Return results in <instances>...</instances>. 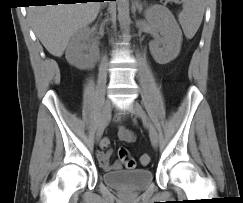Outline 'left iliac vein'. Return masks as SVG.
Returning a JSON list of instances; mask_svg holds the SVG:
<instances>
[{
  "label": "left iliac vein",
  "mask_w": 243,
  "mask_h": 203,
  "mask_svg": "<svg viewBox=\"0 0 243 203\" xmlns=\"http://www.w3.org/2000/svg\"><path fill=\"white\" fill-rule=\"evenodd\" d=\"M130 111L145 123V125L147 126V128L149 130V137H150L151 143L154 147H156L158 145L157 130L154 127V125L151 123L149 118L147 117L142 106L138 102L134 101L130 106Z\"/></svg>",
  "instance_id": "obj_1"
}]
</instances>
